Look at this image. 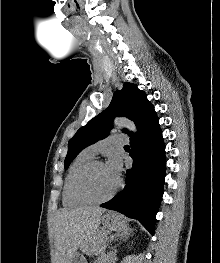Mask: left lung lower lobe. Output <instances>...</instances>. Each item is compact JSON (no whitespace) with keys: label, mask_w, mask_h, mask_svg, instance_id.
Segmentation results:
<instances>
[{"label":"left lung lower lobe","mask_w":220,"mask_h":263,"mask_svg":"<svg viewBox=\"0 0 220 263\" xmlns=\"http://www.w3.org/2000/svg\"><path fill=\"white\" fill-rule=\"evenodd\" d=\"M130 146V156L134 161L132 168L126 172V185L121 193L100 206L139 220L154 234L166 165L159 119L154 120L140 135L130 139Z\"/></svg>","instance_id":"1"}]
</instances>
